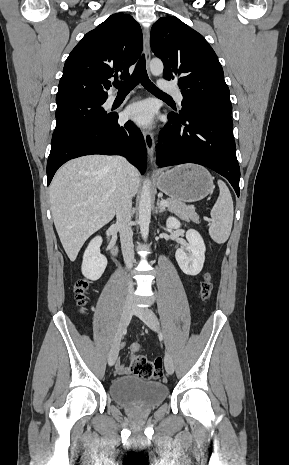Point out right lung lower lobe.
Returning a JSON list of instances; mask_svg holds the SVG:
<instances>
[{"instance_id": "obj_1", "label": "right lung lower lobe", "mask_w": 289, "mask_h": 465, "mask_svg": "<svg viewBox=\"0 0 289 465\" xmlns=\"http://www.w3.org/2000/svg\"><path fill=\"white\" fill-rule=\"evenodd\" d=\"M117 120V114H110L102 122L80 127L53 141L47 161V185L62 164L91 154L122 155L143 174L147 152L142 133L131 121L120 126Z\"/></svg>"}]
</instances>
